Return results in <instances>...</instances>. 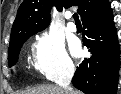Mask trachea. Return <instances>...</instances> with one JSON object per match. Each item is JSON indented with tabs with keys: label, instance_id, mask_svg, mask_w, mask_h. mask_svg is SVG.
<instances>
[{
	"label": "trachea",
	"instance_id": "1",
	"mask_svg": "<svg viewBox=\"0 0 121 94\" xmlns=\"http://www.w3.org/2000/svg\"><path fill=\"white\" fill-rule=\"evenodd\" d=\"M73 18H74L75 22H80L79 16H78L77 13H74V14H73Z\"/></svg>",
	"mask_w": 121,
	"mask_h": 94
}]
</instances>
